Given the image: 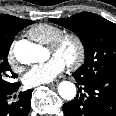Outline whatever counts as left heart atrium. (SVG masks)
<instances>
[{"mask_svg": "<svg viewBox=\"0 0 116 116\" xmlns=\"http://www.w3.org/2000/svg\"><path fill=\"white\" fill-rule=\"evenodd\" d=\"M67 63L58 56L32 66L23 76L26 86L34 87L54 81L66 68Z\"/></svg>", "mask_w": 116, "mask_h": 116, "instance_id": "obj_1", "label": "left heart atrium"}]
</instances>
